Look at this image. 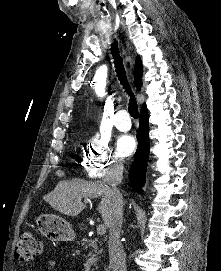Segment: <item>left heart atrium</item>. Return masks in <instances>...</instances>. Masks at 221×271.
<instances>
[{"label":"left heart atrium","mask_w":221,"mask_h":271,"mask_svg":"<svg viewBox=\"0 0 221 271\" xmlns=\"http://www.w3.org/2000/svg\"><path fill=\"white\" fill-rule=\"evenodd\" d=\"M176 94V92H171ZM136 146V138L131 134L121 135L118 138V150L123 154H130Z\"/></svg>","instance_id":"left-heart-atrium-1"}]
</instances>
